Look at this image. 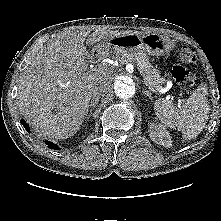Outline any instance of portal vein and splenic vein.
I'll return each instance as SVG.
<instances>
[{"instance_id": "portal-vein-and-splenic-vein-1", "label": "portal vein and splenic vein", "mask_w": 221, "mask_h": 221, "mask_svg": "<svg viewBox=\"0 0 221 221\" xmlns=\"http://www.w3.org/2000/svg\"><path fill=\"white\" fill-rule=\"evenodd\" d=\"M169 88H170V87H165V88L160 87V88L158 89V92H159V93H165V92H167V91L169 90Z\"/></svg>"}]
</instances>
